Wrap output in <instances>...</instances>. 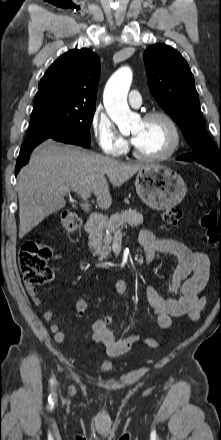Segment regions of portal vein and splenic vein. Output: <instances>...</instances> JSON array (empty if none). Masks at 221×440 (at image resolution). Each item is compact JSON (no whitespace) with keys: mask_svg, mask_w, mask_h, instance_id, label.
Instances as JSON below:
<instances>
[{"mask_svg":"<svg viewBox=\"0 0 221 440\" xmlns=\"http://www.w3.org/2000/svg\"><path fill=\"white\" fill-rule=\"evenodd\" d=\"M67 193H70L69 191ZM91 195V192H84L81 193L80 196L82 197L83 200H87Z\"/></svg>","mask_w":221,"mask_h":440,"instance_id":"portal-vein-and-splenic-vein-1","label":"portal vein and splenic vein"}]
</instances>
